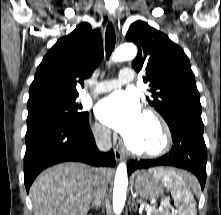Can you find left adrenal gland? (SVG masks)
<instances>
[{
	"label": "left adrenal gland",
	"instance_id": "obj_1",
	"mask_svg": "<svg viewBox=\"0 0 221 215\" xmlns=\"http://www.w3.org/2000/svg\"><path fill=\"white\" fill-rule=\"evenodd\" d=\"M131 206H132V207H135V210H137V209H138V207H137L136 202H135V200H134V199L132 200V204H131Z\"/></svg>",
	"mask_w": 221,
	"mask_h": 215
}]
</instances>
